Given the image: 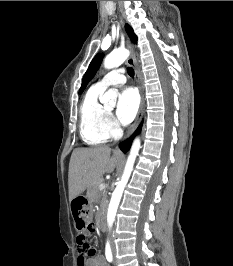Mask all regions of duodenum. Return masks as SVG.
Instances as JSON below:
<instances>
[{"mask_svg": "<svg viewBox=\"0 0 233 266\" xmlns=\"http://www.w3.org/2000/svg\"><path fill=\"white\" fill-rule=\"evenodd\" d=\"M98 226L100 229L104 230L105 228V218H104V213L101 212L98 218Z\"/></svg>", "mask_w": 233, "mask_h": 266, "instance_id": "1", "label": "duodenum"}]
</instances>
